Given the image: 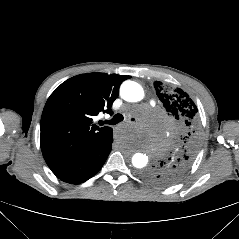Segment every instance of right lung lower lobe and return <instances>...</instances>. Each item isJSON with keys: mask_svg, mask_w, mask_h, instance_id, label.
<instances>
[{"mask_svg": "<svg viewBox=\"0 0 239 239\" xmlns=\"http://www.w3.org/2000/svg\"><path fill=\"white\" fill-rule=\"evenodd\" d=\"M112 131L106 132L82 154L50 169L60 180L70 184L87 181L104 165L111 151Z\"/></svg>", "mask_w": 239, "mask_h": 239, "instance_id": "98d812e1", "label": "right lung lower lobe"}]
</instances>
